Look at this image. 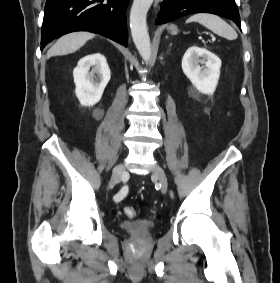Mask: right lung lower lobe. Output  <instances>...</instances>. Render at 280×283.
I'll return each instance as SVG.
<instances>
[{"label":"right lung lower lobe","instance_id":"98d812e1","mask_svg":"<svg viewBox=\"0 0 280 283\" xmlns=\"http://www.w3.org/2000/svg\"><path fill=\"white\" fill-rule=\"evenodd\" d=\"M129 0H47L41 50L52 40L74 31H89L128 43L126 9Z\"/></svg>","mask_w":280,"mask_h":283}]
</instances>
